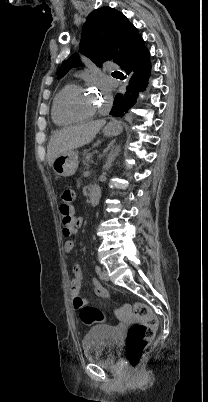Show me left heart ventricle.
Listing matches in <instances>:
<instances>
[{
	"label": "left heart ventricle",
	"mask_w": 208,
	"mask_h": 402,
	"mask_svg": "<svg viewBox=\"0 0 208 402\" xmlns=\"http://www.w3.org/2000/svg\"><path fill=\"white\" fill-rule=\"evenodd\" d=\"M101 98L94 95L86 93V91H81L77 93L72 99V105L74 108L80 111H89L93 109L99 102Z\"/></svg>",
	"instance_id": "obj_1"
}]
</instances>
